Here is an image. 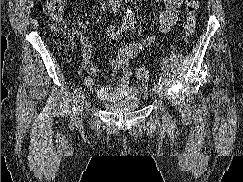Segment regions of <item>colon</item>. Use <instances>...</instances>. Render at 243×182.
<instances>
[{
  "label": "colon",
  "mask_w": 243,
  "mask_h": 182,
  "mask_svg": "<svg viewBox=\"0 0 243 182\" xmlns=\"http://www.w3.org/2000/svg\"><path fill=\"white\" fill-rule=\"evenodd\" d=\"M67 0H46L44 11L48 17V23L54 31V41L61 56L71 59L74 54V39L72 33L67 29L66 21ZM200 7V0H185L186 21L184 32L186 39L193 36L196 25V13ZM136 77L141 81H147L150 71L145 67L136 70Z\"/></svg>",
  "instance_id": "1"
}]
</instances>
